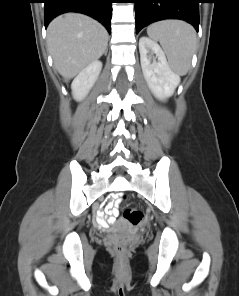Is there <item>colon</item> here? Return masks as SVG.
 Here are the masks:
<instances>
[{
	"mask_svg": "<svg viewBox=\"0 0 239 296\" xmlns=\"http://www.w3.org/2000/svg\"><path fill=\"white\" fill-rule=\"evenodd\" d=\"M125 196L121 195L118 200L123 201ZM124 218L131 224V225H138L143 221L144 214L141 210L133 208V207H126L123 212ZM112 250L119 255L125 254L127 252V239L121 238L116 239L112 243Z\"/></svg>",
	"mask_w": 239,
	"mask_h": 296,
	"instance_id": "5ec220e1",
	"label": "colon"
}]
</instances>
